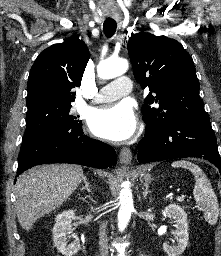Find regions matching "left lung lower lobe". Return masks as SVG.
<instances>
[{"instance_id": "0a47b994", "label": "left lung lower lobe", "mask_w": 221, "mask_h": 256, "mask_svg": "<svg viewBox=\"0 0 221 256\" xmlns=\"http://www.w3.org/2000/svg\"><path fill=\"white\" fill-rule=\"evenodd\" d=\"M138 150L140 163L198 157L215 164L221 173V158L209 116L182 119L160 128L146 126Z\"/></svg>"}]
</instances>
